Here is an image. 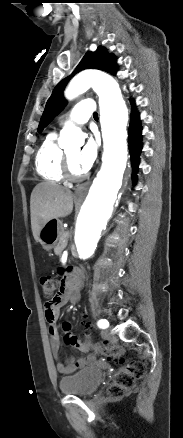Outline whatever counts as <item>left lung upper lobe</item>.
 Masks as SVG:
<instances>
[{"instance_id":"left-lung-upper-lobe-1","label":"left lung upper lobe","mask_w":183,"mask_h":438,"mask_svg":"<svg viewBox=\"0 0 183 438\" xmlns=\"http://www.w3.org/2000/svg\"><path fill=\"white\" fill-rule=\"evenodd\" d=\"M87 68L100 69L115 75V57L113 54L108 53L105 48L99 47L96 52H88L85 54L81 62L76 67L75 73ZM69 79L70 77L63 79L54 88L51 97L47 101L38 127V132H41L63 110L64 106L66 105V101L63 98V90Z\"/></svg>"}]
</instances>
